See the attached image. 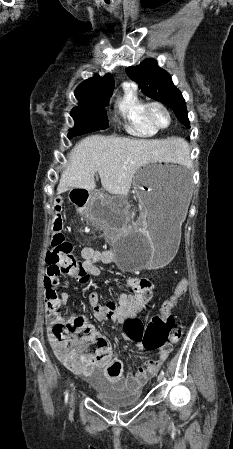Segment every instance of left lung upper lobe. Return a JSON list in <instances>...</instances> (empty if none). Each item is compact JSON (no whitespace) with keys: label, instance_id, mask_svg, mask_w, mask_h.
<instances>
[{"label":"left lung upper lobe","instance_id":"1","mask_svg":"<svg viewBox=\"0 0 233 449\" xmlns=\"http://www.w3.org/2000/svg\"><path fill=\"white\" fill-rule=\"evenodd\" d=\"M127 75L139 84L141 91L148 97L168 105L178 120L190 128L185 100L174 86L171 76L158 67L153 59H147L140 65L128 67Z\"/></svg>","mask_w":233,"mask_h":449}]
</instances>
